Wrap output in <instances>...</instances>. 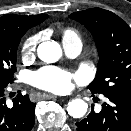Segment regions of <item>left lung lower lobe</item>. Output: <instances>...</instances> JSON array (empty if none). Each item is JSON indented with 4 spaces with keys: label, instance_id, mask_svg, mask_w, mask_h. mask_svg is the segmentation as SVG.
I'll use <instances>...</instances> for the list:
<instances>
[{
    "label": "left lung lower lobe",
    "instance_id": "0a47b994",
    "mask_svg": "<svg viewBox=\"0 0 131 131\" xmlns=\"http://www.w3.org/2000/svg\"><path fill=\"white\" fill-rule=\"evenodd\" d=\"M107 103L99 113H91L76 123V131H131V98L104 94Z\"/></svg>",
    "mask_w": 131,
    "mask_h": 131
}]
</instances>
